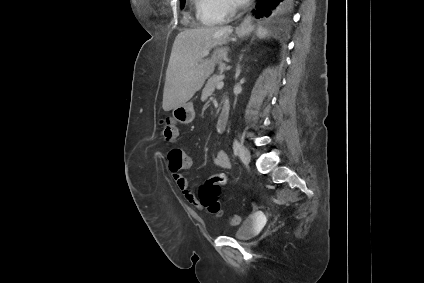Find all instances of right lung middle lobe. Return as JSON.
<instances>
[{"label": "right lung middle lobe", "instance_id": "obj_1", "mask_svg": "<svg viewBox=\"0 0 424 283\" xmlns=\"http://www.w3.org/2000/svg\"><path fill=\"white\" fill-rule=\"evenodd\" d=\"M184 4H185V0H181V7L182 8H183Z\"/></svg>", "mask_w": 424, "mask_h": 283}]
</instances>
